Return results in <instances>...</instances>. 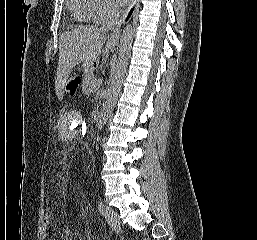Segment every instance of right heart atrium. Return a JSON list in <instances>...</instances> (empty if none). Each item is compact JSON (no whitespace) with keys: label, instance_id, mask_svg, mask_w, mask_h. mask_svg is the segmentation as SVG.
<instances>
[{"label":"right heart atrium","instance_id":"1","mask_svg":"<svg viewBox=\"0 0 257 240\" xmlns=\"http://www.w3.org/2000/svg\"><path fill=\"white\" fill-rule=\"evenodd\" d=\"M95 6L93 9V20L97 23H103L114 17L117 13V8L112 0H94Z\"/></svg>","mask_w":257,"mask_h":240}]
</instances>
